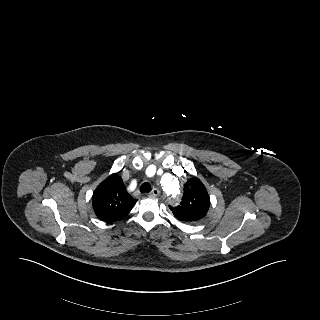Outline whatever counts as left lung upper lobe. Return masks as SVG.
<instances>
[{
  "instance_id": "1",
  "label": "left lung upper lobe",
  "mask_w": 320,
  "mask_h": 320,
  "mask_svg": "<svg viewBox=\"0 0 320 320\" xmlns=\"http://www.w3.org/2000/svg\"><path fill=\"white\" fill-rule=\"evenodd\" d=\"M209 205L210 200L206 188L198 178L193 177L184 184L180 205L169 206V208L178 220L192 223L206 215Z\"/></svg>"
}]
</instances>
